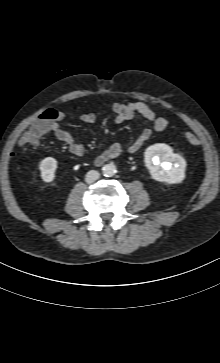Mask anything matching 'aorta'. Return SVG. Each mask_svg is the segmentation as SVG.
I'll return each mask as SVG.
<instances>
[{
  "label": "aorta",
  "mask_w": 220,
  "mask_h": 363,
  "mask_svg": "<svg viewBox=\"0 0 220 363\" xmlns=\"http://www.w3.org/2000/svg\"><path fill=\"white\" fill-rule=\"evenodd\" d=\"M116 166L113 163H109L103 166L102 172L106 177H112L116 173Z\"/></svg>",
  "instance_id": "aorta-1"
}]
</instances>
